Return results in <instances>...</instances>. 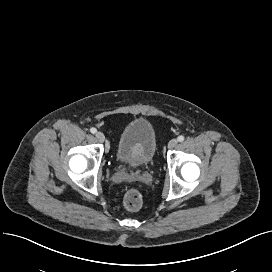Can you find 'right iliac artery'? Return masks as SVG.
<instances>
[{"label": "right iliac artery", "instance_id": "right-iliac-artery-1", "mask_svg": "<svg viewBox=\"0 0 272 272\" xmlns=\"http://www.w3.org/2000/svg\"><path fill=\"white\" fill-rule=\"evenodd\" d=\"M90 132L94 134V133L97 132V130H96V128H91V129H90Z\"/></svg>", "mask_w": 272, "mask_h": 272}]
</instances>
